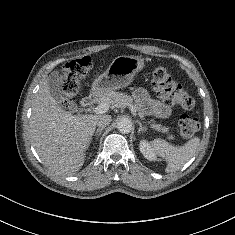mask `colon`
<instances>
[{
	"instance_id": "1",
	"label": "colon",
	"mask_w": 235,
	"mask_h": 235,
	"mask_svg": "<svg viewBox=\"0 0 235 235\" xmlns=\"http://www.w3.org/2000/svg\"><path fill=\"white\" fill-rule=\"evenodd\" d=\"M92 67L89 57H81L68 62L61 74V92L65 100H71L81 90V80L86 76ZM151 83L165 102L179 106L183 109H192L194 100L186 89L177 83L164 68H155L152 71ZM63 106L67 107L63 104ZM179 129L183 136L191 137L199 129V122L196 118L182 115L179 119Z\"/></svg>"
}]
</instances>
